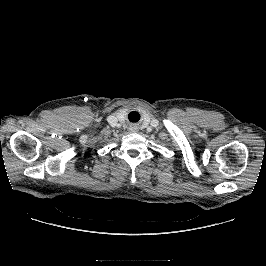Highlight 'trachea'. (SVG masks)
I'll return each mask as SVG.
<instances>
[{
	"label": "trachea",
	"mask_w": 266,
	"mask_h": 266,
	"mask_svg": "<svg viewBox=\"0 0 266 266\" xmlns=\"http://www.w3.org/2000/svg\"><path fill=\"white\" fill-rule=\"evenodd\" d=\"M134 114H136V112H131V113L129 114V117H131V116L134 115Z\"/></svg>",
	"instance_id": "1"
}]
</instances>
